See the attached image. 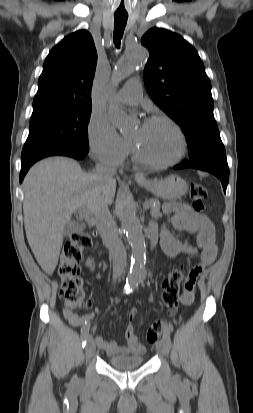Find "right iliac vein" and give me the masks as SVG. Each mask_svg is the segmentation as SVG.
Instances as JSON below:
<instances>
[{"instance_id":"63e3f726","label":"right iliac vein","mask_w":253,"mask_h":413,"mask_svg":"<svg viewBox=\"0 0 253 413\" xmlns=\"http://www.w3.org/2000/svg\"><path fill=\"white\" fill-rule=\"evenodd\" d=\"M95 350H96L95 341L91 336H89L87 340V346H86L87 359H90L94 356Z\"/></svg>"}]
</instances>
